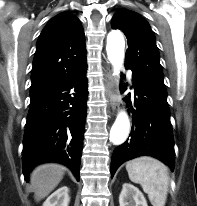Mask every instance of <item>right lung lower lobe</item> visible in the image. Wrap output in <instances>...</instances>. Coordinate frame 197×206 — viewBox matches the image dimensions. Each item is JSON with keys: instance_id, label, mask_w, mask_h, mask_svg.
Masks as SVG:
<instances>
[{"instance_id": "right-lung-lower-lobe-1", "label": "right lung lower lobe", "mask_w": 197, "mask_h": 206, "mask_svg": "<svg viewBox=\"0 0 197 206\" xmlns=\"http://www.w3.org/2000/svg\"><path fill=\"white\" fill-rule=\"evenodd\" d=\"M87 64L75 74L32 100L23 139V174L43 162L69 167L77 180L87 112Z\"/></svg>"}]
</instances>
